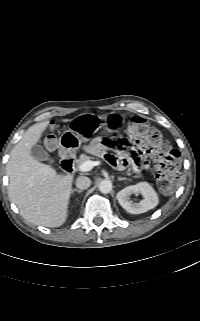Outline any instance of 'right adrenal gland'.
I'll return each mask as SVG.
<instances>
[{
	"label": "right adrenal gland",
	"instance_id": "obj_1",
	"mask_svg": "<svg viewBox=\"0 0 200 321\" xmlns=\"http://www.w3.org/2000/svg\"><path fill=\"white\" fill-rule=\"evenodd\" d=\"M74 192L81 193V192H83V190L74 188V189L72 190V193H74Z\"/></svg>",
	"mask_w": 200,
	"mask_h": 321
}]
</instances>
